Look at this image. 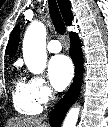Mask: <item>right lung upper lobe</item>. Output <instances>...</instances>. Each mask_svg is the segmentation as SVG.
Wrapping results in <instances>:
<instances>
[{"instance_id": "right-lung-upper-lobe-1", "label": "right lung upper lobe", "mask_w": 108, "mask_h": 127, "mask_svg": "<svg viewBox=\"0 0 108 127\" xmlns=\"http://www.w3.org/2000/svg\"><path fill=\"white\" fill-rule=\"evenodd\" d=\"M58 4L62 13V16L65 20V23L67 25H71L73 20V14L71 12V3L69 0H58ZM20 39V28L19 26H16L9 38L7 47H6V54L10 57H13L15 54V51L18 47Z\"/></svg>"}]
</instances>
